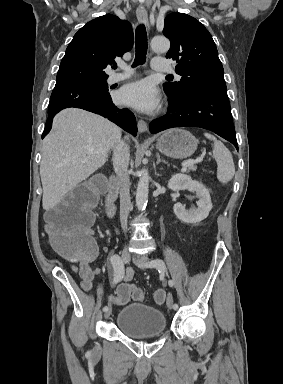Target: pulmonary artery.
<instances>
[{
	"mask_svg": "<svg viewBox=\"0 0 283 384\" xmlns=\"http://www.w3.org/2000/svg\"><path fill=\"white\" fill-rule=\"evenodd\" d=\"M120 72L112 73L108 76L107 82L109 84H114L117 82H120L122 80L127 79L130 77L134 70L128 67L124 62L119 63ZM152 70L153 71H168L169 75L175 74V69L173 68V65L170 63V61H153L152 62ZM178 78H180L179 75H177Z\"/></svg>",
	"mask_w": 283,
	"mask_h": 384,
	"instance_id": "1",
	"label": "pulmonary artery"
}]
</instances>
